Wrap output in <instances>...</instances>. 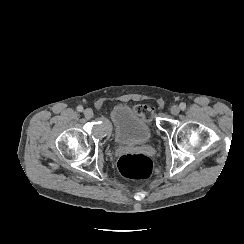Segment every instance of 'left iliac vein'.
Instances as JSON below:
<instances>
[{"instance_id": "1", "label": "left iliac vein", "mask_w": 244, "mask_h": 244, "mask_svg": "<svg viewBox=\"0 0 244 244\" xmlns=\"http://www.w3.org/2000/svg\"><path fill=\"white\" fill-rule=\"evenodd\" d=\"M170 111L172 114L177 115L180 112V107L177 105H173L170 107Z\"/></svg>"}]
</instances>
